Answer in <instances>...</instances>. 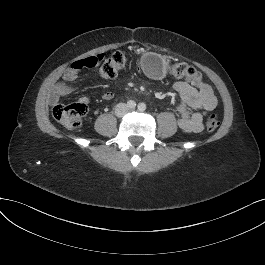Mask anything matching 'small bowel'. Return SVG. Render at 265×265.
<instances>
[{
	"instance_id": "c3829d8e",
	"label": "small bowel",
	"mask_w": 265,
	"mask_h": 265,
	"mask_svg": "<svg viewBox=\"0 0 265 265\" xmlns=\"http://www.w3.org/2000/svg\"><path fill=\"white\" fill-rule=\"evenodd\" d=\"M74 78V73L71 71L66 72V80L70 81ZM173 87L180 98L177 106L180 128L187 133L202 131L205 115L217 105V98L212 88L205 82H196L186 78L175 82ZM74 90L75 87L67 84H58L51 91L49 100L54 104L61 96L69 94ZM102 98L105 101H110L114 98V94L111 91H106L103 93ZM79 102L88 104L90 99L87 96H82Z\"/></svg>"
}]
</instances>
